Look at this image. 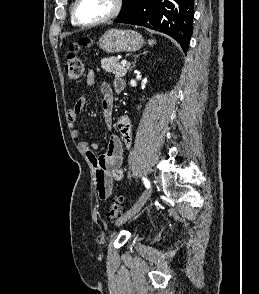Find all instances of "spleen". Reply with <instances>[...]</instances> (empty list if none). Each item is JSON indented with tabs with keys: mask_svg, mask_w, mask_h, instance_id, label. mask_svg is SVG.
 Instances as JSON below:
<instances>
[{
	"mask_svg": "<svg viewBox=\"0 0 259 294\" xmlns=\"http://www.w3.org/2000/svg\"><path fill=\"white\" fill-rule=\"evenodd\" d=\"M148 43H149L150 45H153V44H155V41H154V40H149Z\"/></svg>",
	"mask_w": 259,
	"mask_h": 294,
	"instance_id": "obj_1",
	"label": "spleen"
}]
</instances>
